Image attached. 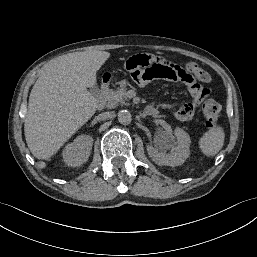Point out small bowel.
<instances>
[{
	"instance_id": "obj_1",
	"label": "small bowel",
	"mask_w": 257,
	"mask_h": 257,
	"mask_svg": "<svg viewBox=\"0 0 257 257\" xmlns=\"http://www.w3.org/2000/svg\"><path fill=\"white\" fill-rule=\"evenodd\" d=\"M124 70L132 75V82L137 87H146L151 82L165 79L182 87L183 91L190 93L192 100L175 109L174 117L181 121H190L195 115L198 102L208 95V90L196 84L194 70L177 65L175 61L168 60L161 55L153 57L148 52H141L136 56H129L124 61Z\"/></svg>"
}]
</instances>
